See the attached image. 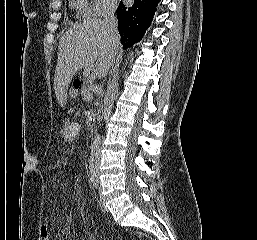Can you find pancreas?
<instances>
[{
  "label": "pancreas",
  "instance_id": "cf45deb5",
  "mask_svg": "<svg viewBox=\"0 0 257 240\" xmlns=\"http://www.w3.org/2000/svg\"><path fill=\"white\" fill-rule=\"evenodd\" d=\"M89 83H90V81L87 80V81L85 82V84L83 85L82 90H81V95H82V97H83V100H85V101H87L88 99H90V98H88V96H87V94H88V92H89V88H90Z\"/></svg>",
  "mask_w": 257,
  "mask_h": 240
}]
</instances>
